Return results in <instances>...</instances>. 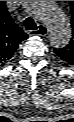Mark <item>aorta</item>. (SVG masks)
<instances>
[{"label":"aorta","instance_id":"aorta-1","mask_svg":"<svg viewBox=\"0 0 74 122\" xmlns=\"http://www.w3.org/2000/svg\"><path fill=\"white\" fill-rule=\"evenodd\" d=\"M25 11L48 28V40L53 48L61 49L70 42L72 30L68 17L54 1H25Z\"/></svg>","mask_w":74,"mask_h":122}]
</instances>
